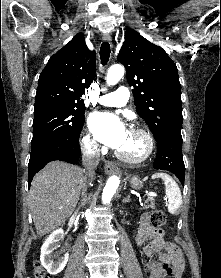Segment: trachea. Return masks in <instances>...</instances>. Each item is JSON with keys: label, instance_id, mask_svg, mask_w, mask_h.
<instances>
[{"label": "trachea", "instance_id": "obj_1", "mask_svg": "<svg viewBox=\"0 0 221 278\" xmlns=\"http://www.w3.org/2000/svg\"><path fill=\"white\" fill-rule=\"evenodd\" d=\"M110 52V44L107 42L102 43L100 48V59L102 65L107 64L110 57Z\"/></svg>", "mask_w": 221, "mask_h": 278}]
</instances>
